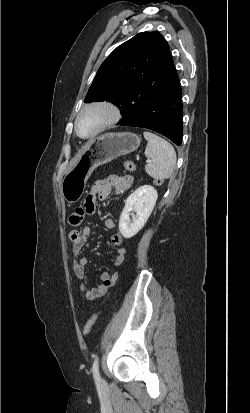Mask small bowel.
Returning a JSON list of instances; mask_svg holds the SVG:
<instances>
[{
  "label": "small bowel",
  "instance_id": "c3829d8e",
  "mask_svg": "<svg viewBox=\"0 0 250 413\" xmlns=\"http://www.w3.org/2000/svg\"><path fill=\"white\" fill-rule=\"evenodd\" d=\"M133 183V178L129 175L109 174L103 178L94 181L90 193H87L84 198L85 214L91 215L94 212L96 200H105L109 197L112 191L116 194H121L127 191ZM104 225L107 229L115 227V221L111 218L105 220ZM91 235V228L85 226L82 230L74 229L69 233V255L72 259L73 269L78 279L84 280L85 267L89 260L85 255L81 254L83 247L86 245ZM111 243L115 247L114 265L119 267L123 264L126 255V248L123 246V237L120 233H115L111 236ZM117 272H103L100 275L99 283L96 287L87 288L85 283L80 285V293L83 297L92 301L104 295L109 287H111L116 279Z\"/></svg>",
  "mask_w": 250,
  "mask_h": 413
}]
</instances>
